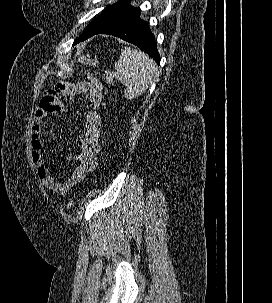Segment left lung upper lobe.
<instances>
[{
    "label": "left lung upper lobe",
    "instance_id": "1",
    "mask_svg": "<svg viewBox=\"0 0 272 303\" xmlns=\"http://www.w3.org/2000/svg\"><path fill=\"white\" fill-rule=\"evenodd\" d=\"M131 8L130 5V0H120L119 2L108 6L107 8H105L102 13L97 16L87 27L86 29L83 31V33L89 31L90 29H92L94 26H96L98 23H100L101 21L105 20L106 18L113 16L121 11H124L126 9ZM82 33V34H83Z\"/></svg>",
    "mask_w": 272,
    "mask_h": 303
}]
</instances>
